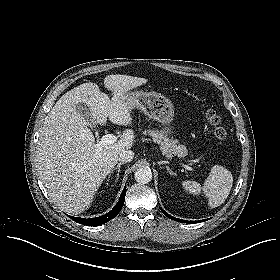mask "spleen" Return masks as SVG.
<instances>
[{
	"label": "spleen",
	"instance_id": "obj_1",
	"mask_svg": "<svg viewBox=\"0 0 280 280\" xmlns=\"http://www.w3.org/2000/svg\"><path fill=\"white\" fill-rule=\"evenodd\" d=\"M233 184L231 172L221 165H214L203 187L196 181H183V188L192 194H198L203 190L208 198L210 207H217L224 203L230 194Z\"/></svg>",
	"mask_w": 280,
	"mask_h": 280
}]
</instances>
